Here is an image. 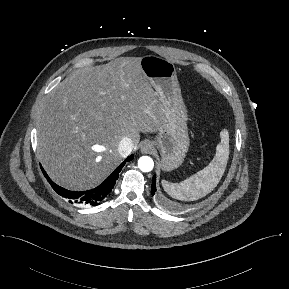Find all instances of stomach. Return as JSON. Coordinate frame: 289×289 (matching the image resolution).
<instances>
[{"label":"stomach","mask_w":289,"mask_h":289,"mask_svg":"<svg viewBox=\"0 0 289 289\" xmlns=\"http://www.w3.org/2000/svg\"><path fill=\"white\" fill-rule=\"evenodd\" d=\"M140 66L164 106L165 120L153 144L160 150L162 169L171 171L183 163L189 148L187 110L177 70L171 61L155 55L141 57Z\"/></svg>","instance_id":"stomach-1"}]
</instances>
